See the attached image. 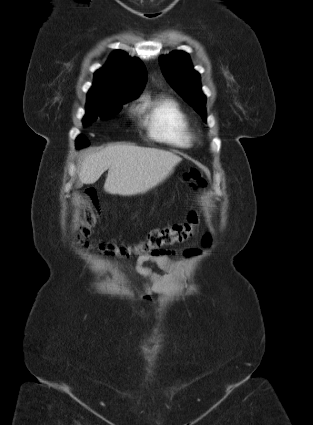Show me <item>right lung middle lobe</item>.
I'll return each instance as SVG.
<instances>
[{"label": "right lung middle lobe", "mask_w": 313, "mask_h": 425, "mask_svg": "<svg viewBox=\"0 0 313 425\" xmlns=\"http://www.w3.org/2000/svg\"><path fill=\"white\" fill-rule=\"evenodd\" d=\"M130 100H132V98L121 95H114L102 98L100 100L87 102L86 115L83 118V125L87 126L97 118H109L116 115L122 109V105L129 102ZM88 145L89 143L84 137L79 136L77 138L76 147L78 149Z\"/></svg>", "instance_id": "1"}]
</instances>
